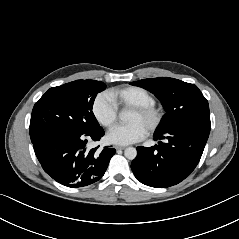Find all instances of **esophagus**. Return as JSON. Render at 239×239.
I'll return each mask as SVG.
<instances>
[{"label": "esophagus", "mask_w": 239, "mask_h": 239, "mask_svg": "<svg viewBox=\"0 0 239 239\" xmlns=\"http://www.w3.org/2000/svg\"><path fill=\"white\" fill-rule=\"evenodd\" d=\"M126 147L124 146H115V149L116 150H124Z\"/></svg>", "instance_id": "obj_1"}]
</instances>
